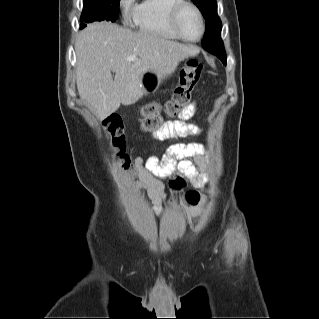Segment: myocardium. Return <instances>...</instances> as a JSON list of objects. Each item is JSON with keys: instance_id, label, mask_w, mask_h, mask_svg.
<instances>
[{"instance_id": "myocardium-1", "label": "myocardium", "mask_w": 319, "mask_h": 319, "mask_svg": "<svg viewBox=\"0 0 319 319\" xmlns=\"http://www.w3.org/2000/svg\"><path fill=\"white\" fill-rule=\"evenodd\" d=\"M187 7L194 10V12L196 13V15L198 17L199 23H200V33H199L198 37H196L194 39H189V38L185 37L181 33L179 26H178L179 16H180L181 12ZM168 23H169L170 29L176 35V37L180 38L186 42H198L203 37L204 31H205L204 17H203L202 12L194 3L190 2V1H186V0H180V2L176 3L171 8L170 13H169V17H168Z\"/></svg>"}]
</instances>
